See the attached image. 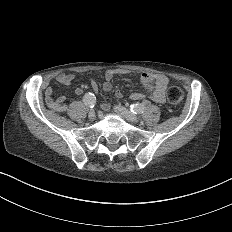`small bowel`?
Returning a JSON list of instances; mask_svg holds the SVG:
<instances>
[{
    "mask_svg": "<svg viewBox=\"0 0 232 232\" xmlns=\"http://www.w3.org/2000/svg\"><path fill=\"white\" fill-rule=\"evenodd\" d=\"M116 76H131L139 80V82L145 86L150 87V98L157 103H163L165 101V89L169 85V78L162 73H148L139 69H108L103 71V89L108 91L110 89V81ZM57 83L61 85H70L74 79L75 75L72 73H59L55 77ZM90 83L95 92L99 91V83L97 80L92 79ZM74 92L80 94L82 92L81 88H75ZM47 94L53 93V88L48 86L46 89ZM117 98L123 96L122 92H117L115 94ZM132 99H140L143 94L139 91H132L130 93ZM102 108L104 110H110L112 105L109 102L102 103Z\"/></svg>",
    "mask_w": 232,
    "mask_h": 232,
    "instance_id": "c3829d8e",
    "label": "small bowel"
}]
</instances>
